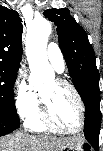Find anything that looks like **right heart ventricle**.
I'll return each instance as SVG.
<instances>
[{"instance_id": "1", "label": "right heart ventricle", "mask_w": 103, "mask_h": 151, "mask_svg": "<svg viewBox=\"0 0 103 151\" xmlns=\"http://www.w3.org/2000/svg\"><path fill=\"white\" fill-rule=\"evenodd\" d=\"M26 126L32 131L45 132L48 128L44 125L41 119L40 111H37L28 119H26Z\"/></svg>"}]
</instances>
